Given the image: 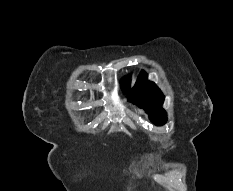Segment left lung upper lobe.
I'll return each instance as SVG.
<instances>
[{
    "label": "left lung upper lobe",
    "instance_id": "obj_1",
    "mask_svg": "<svg viewBox=\"0 0 233 191\" xmlns=\"http://www.w3.org/2000/svg\"><path fill=\"white\" fill-rule=\"evenodd\" d=\"M146 76L144 71L140 73L128 100L137 104L140 108H144L153 123L163 125L167 120L166 112L161 108L164 95L153 82L146 81ZM122 87L125 93L130 91V77L122 82Z\"/></svg>",
    "mask_w": 233,
    "mask_h": 191
}]
</instances>
